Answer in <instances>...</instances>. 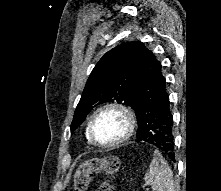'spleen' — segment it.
I'll list each match as a JSON object with an SVG mask.
<instances>
[{"instance_id": "spleen-1", "label": "spleen", "mask_w": 221, "mask_h": 191, "mask_svg": "<svg viewBox=\"0 0 221 191\" xmlns=\"http://www.w3.org/2000/svg\"><path fill=\"white\" fill-rule=\"evenodd\" d=\"M144 180L145 184L152 186L153 191H175L173 173L167 161L158 152H154Z\"/></svg>"}]
</instances>
